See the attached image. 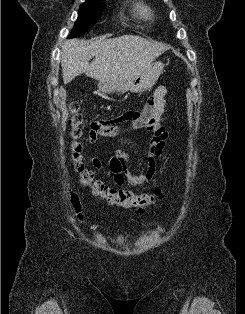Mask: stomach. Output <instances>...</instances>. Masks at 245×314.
<instances>
[{"label": "stomach", "mask_w": 245, "mask_h": 314, "mask_svg": "<svg viewBox=\"0 0 245 314\" xmlns=\"http://www.w3.org/2000/svg\"><path fill=\"white\" fill-rule=\"evenodd\" d=\"M164 64L156 62L145 71L124 80L118 81H99L98 88L101 92L111 94L114 92L141 93L150 89L158 80L163 72Z\"/></svg>", "instance_id": "stomach-1"}]
</instances>
